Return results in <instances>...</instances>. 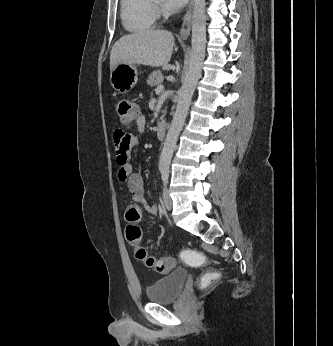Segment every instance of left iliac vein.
Masks as SVG:
<instances>
[{
  "mask_svg": "<svg viewBox=\"0 0 333 346\" xmlns=\"http://www.w3.org/2000/svg\"><path fill=\"white\" fill-rule=\"evenodd\" d=\"M163 200H164V205L168 210H171L173 207V201L169 195L168 189L165 187L163 190Z\"/></svg>",
  "mask_w": 333,
  "mask_h": 346,
  "instance_id": "obj_1",
  "label": "left iliac vein"
}]
</instances>
